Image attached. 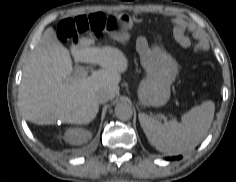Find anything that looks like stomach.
I'll list each match as a JSON object with an SVG mask.
<instances>
[{
	"label": "stomach",
	"instance_id": "stomach-1",
	"mask_svg": "<svg viewBox=\"0 0 236 182\" xmlns=\"http://www.w3.org/2000/svg\"><path fill=\"white\" fill-rule=\"evenodd\" d=\"M124 30L114 34L115 37L127 39V31L133 26L130 15L120 17ZM141 62L146 71V77L138 88V98L142 105L160 107L170 98V86L179 73V65L175 58L162 47L141 51Z\"/></svg>",
	"mask_w": 236,
	"mask_h": 182
}]
</instances>
